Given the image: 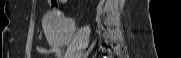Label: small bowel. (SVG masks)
Segmentation results:
<instances>
[{
  "mask_svg": "<svg viewBox=\"0 0 181 58\" xmlns=\"http://www.w3.org/2000/svg\"><path fill=\"white\" fill-rule=\"evenodd\" d=\"M49 3L52 7L58 6V2L56 0L49 1ZM36 51L41 54H54L56 58H61V50L58 46H53L51 48H43V47L37 46Z\"/></svg>",
  "mask_w": 181,
  "mask_h": 58,
  "instance_id": "small-bowel-1",
  "label": "small bowel"
}]
</instances>
